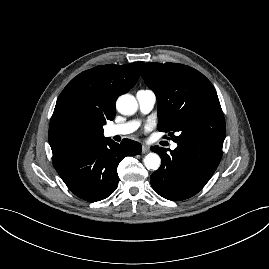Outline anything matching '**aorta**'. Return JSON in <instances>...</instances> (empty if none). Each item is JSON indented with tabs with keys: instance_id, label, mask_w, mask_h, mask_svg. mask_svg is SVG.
Returning a JSON list of instances; mask_svg holds the SVG:
<instances>
[{
	"instance_id": "obj_1",
	"label": "aorta",
	"mask_w": 269,
	"mask_h": 269,
	"mask_svg": "<svg viewBox=\"0 0 269 269\" xmlns=\"http://www.w3.org/2000/svg\"><path fill=\"white\" fill-rule=\"evenodd\" d=\"M116 108L123 115H132L137 111V100L130 94L121 95L116 101ZM143 162L147 169L157 170L161 165V158L152 152L144 157Z\"/></svg>"
}]
</instances>
